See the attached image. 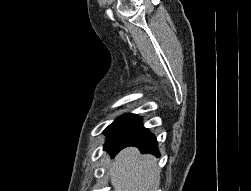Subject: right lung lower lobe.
I'll use <instances>...</instances> for the list:
<instances>
[{
	"mask_svg": "<svg viewBox=\"0 0 251 191\" xmlns=\"http://www.w3.org/2000/svg\"><path fill=\"white\" fill-rule=\"evenodd\" d=\"M128 146L138 147L141 153H150L160 156L156 137L142 126L141 119L137 118L119 135L106 142L105 149L114 157L119 151Z\"/></svg>",
	"mask_w": 251,
	"mask_h": 191,
	"instance_id": "right-lung-lower-lobe-1",
	"label": "right lung lower lobe"
}]
</instances>
